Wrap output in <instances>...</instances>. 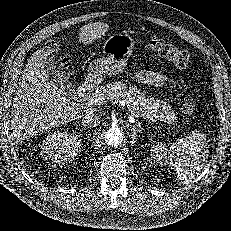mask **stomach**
I'll list each match as a JSON object with an SVG mask.
<instances>
[{"mask_svg": "<svg viewBox=\"0 0 231 231\" xmlns=\"http://www.w3.org/2000/svg\"><path fill=\"white\" fill-rule=\"evenodd\" d=\"M134 40L127 33H117L110 36L103 45L104 57L93 60L88 67V78L101 82L105 75L118 76L132 54Z\"/></svg>", "mask_w": 231, "mask_h": 231, "instance_id": "0dacf381", "label": "stomach"}]
</instances>
